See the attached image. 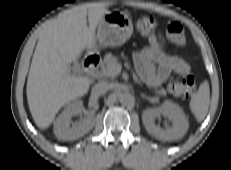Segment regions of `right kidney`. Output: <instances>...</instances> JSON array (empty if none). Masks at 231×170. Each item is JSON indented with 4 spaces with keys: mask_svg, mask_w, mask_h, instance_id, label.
<instances>
[{
    "mask_svg": "<svg viewBox=\"0 0 231 170\" xmlns=\"http://www.w3.org/2000/svg\"><path fill=\"white\" fill-rule=\"evenodd\" d=\"M83 108V102L76 100L70 103L54 122V134L63 141L76 140L88 133L95 124L93 115L84 117L79 123L70 127L73 115L79 113Z\"/></svg>",
    "mask_w": 231,
    "mask_h": 170,
    "instance_id": "ca27d5eb",
    "label": "right kidney"
}]
</instances>
